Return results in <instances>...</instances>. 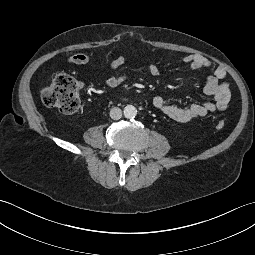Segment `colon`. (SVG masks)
Segmentation results:
<instances>
[{"mask_svg": "<svg viewBox=\"0 0 255 255\" xmlns=\"http://www.w3.org/2000/svg\"><path fill=\"white\" fill-rule=\"evenodd\" d=\"M78 82L64 71H57L49 85L40 91L42 102L49 107L58 109L66 115L75 114L80 109L78 96ZM225 126L223 121L216 123V128L221 130Z\"/></svg>", "mask_w": 255, "mask_h": 255, "instance_id": "1", "label": "colon"}]
</instances>
